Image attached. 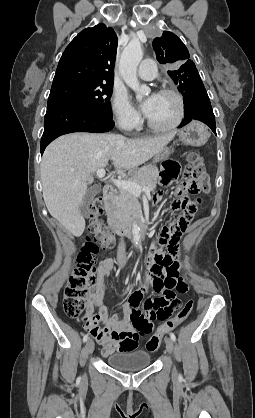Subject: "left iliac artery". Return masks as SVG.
Returning <instances> with one entry per match:
<instances>
[{"mask_svg": "<svg viewBox=\"0 0 255 418\" xmlns=\"http://www.w3.org/2000/svg\"><path fill=\"white\" fill-rule=\"evenodd\" d=\"M170 337L171 339L175 342L176 341V336L174 333H170Z\"/></svg>", "mask_w": 255, "mask_h": 418, "instance_id": "1", "label": "left iliac artery"}]
</instances>
